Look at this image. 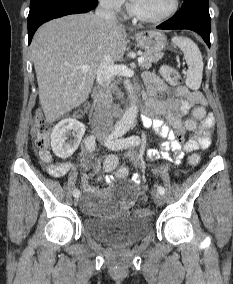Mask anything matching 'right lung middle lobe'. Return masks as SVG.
Wrapping results in <instances>:
<instances>
[{
	"mask_svg": "<svg viewBox=\"0 0 233 284\" xmlns=\"http://www.w3.org/2000/svg\"><path fill=\"white\" fill-rule=\"evenodd\" d=\"M48 1V0H31L30 6L39 2Z\"/></svg>",
	"mask_w": 233,
	"mask_h": 284,
	"instance_id": "obj_1",
	"label": "right lung middle lobe"
}]
</instances>
